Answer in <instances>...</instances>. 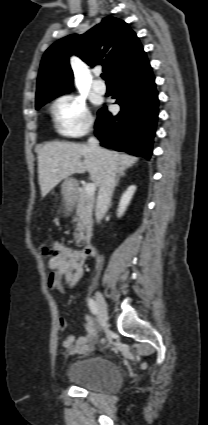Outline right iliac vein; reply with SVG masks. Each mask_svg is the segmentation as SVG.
I'll list each match as a JSON object with an SVG mask.
<instances>
[{
	"mask_svg": "<svg viewBox=\"0 0 208 425\" xmlns=\"http://www.w3.org/2000/svg\"><path fill=\"white\" fill-rule=\"evenodd\" d=\"M96 304H97L99 323L101 327H107L108 309H107L106 301L100 292L96 293Z\"/></svg>",
	"mask_w": 208,
	"mask_h": 425,
	"instance_id": "63e3f726",
	"label": "right iliac vein"
}]
</instances>
